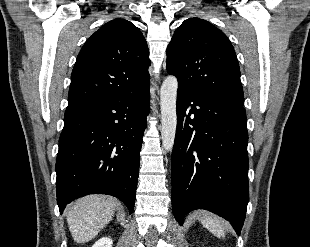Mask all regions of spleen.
<instances>
[{
  "label": "spleen",
  "mask_w": 310,
  "mask_h": 247,
  "mask_svg": "<svg viewBox=\"0 0 310 247\" xmlns=\"http://www.w3.org/2000/svg\"><path fill=\"white\" fill-rule=\"evenodd\" d=\"M202 225L217 237H224L225 231L222 221L219 217L206 213L201 219Z\"/></svg>",
  "instance_id": "spleen-1"
}]
</instances>
